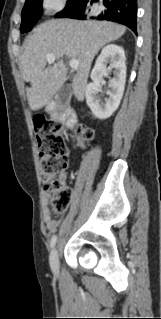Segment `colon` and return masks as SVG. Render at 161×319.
Masks as SVG:
<instances>
[{"mask_svg":"<svg viewBox=\"0 0 161 319\" xmlns=\"http://www.w3.org/2000/svg\"><path fill=\"white\" fill-rule=\"evenodd\" d=\"M34 131L37 138V150L43 186L52 191L51 210L56 215H63L72 201L70 189L57 179L65 171L68 162V150L64 142V129L60 123L34 119ZM76 144L92 137L93 132L86 127H79Z\"/></svg>","mask_w":161,"mask_h":319,"instance_id":"colon-1","label":"colon"}]
</instances>
